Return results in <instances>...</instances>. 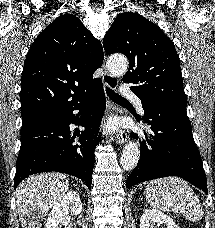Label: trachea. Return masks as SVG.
<instances>
[{"mask_svg":"<svg viewBox=\"0 0 215 228\" xmlns=\"http://www.w3.org/2000/svg\"><path fill=\"white\" fill-rule=\"evenodd\" d=\"M106 93L112 101L130 105V103L128 102V100H126V98L121 97L120 95H118V93H115L110 88H107Z\"/></svg>","mask_w":215,"mask_h":228,"instance_id":"obj_1","label":"trachea"}]
</instances>
